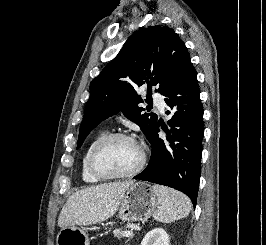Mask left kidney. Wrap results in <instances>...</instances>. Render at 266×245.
Here are the masks:
<instances>
[{
    "instance_id": "5707ae66",
    "label": "left kidney",
    "mask_w": 266,
    "mask_h": 245,
    "mask_svg": "<svg viewBox=\"0 0 266 245\" xmlns=\"http://www.w3.org/2000/svg\"><path fill=\"white\" fill-rule=\"evenodd\" d=\"M169 235H167L164 229H152L147 235H145L141 245H169Z\"/></svg>"
}]
</instances>
